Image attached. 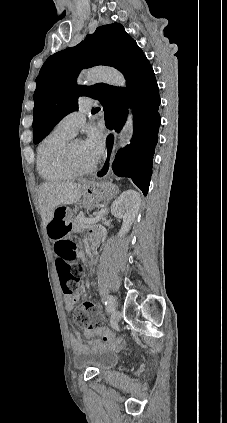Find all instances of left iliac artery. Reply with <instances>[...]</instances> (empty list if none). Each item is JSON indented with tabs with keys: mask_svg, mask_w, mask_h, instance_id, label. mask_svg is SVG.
<instances>
[{
	"mask_svg": "<svg viewBox=\"0 0 227 423\" xmlns=\"http://www.w3.org/2000/svg\"><path fill=\"white\" fill-rule=\"evenodd\" d=\"M114 303H115V299H114V297H113V296H111V295H109V296L106 298V300H105L106 311H107L108 313H111L112 311H114L115 306H114V305H113V306H111V304H114Z\"/></svg>",
	"mask_w": 227,
	"mask_h": 423,
	"instance_id": "left-iliac-artery-1",
	"label": "left iliac artery"
}]
</instances>
